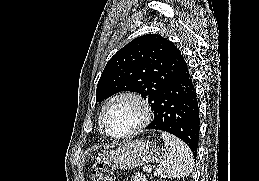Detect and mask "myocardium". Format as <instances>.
Here are the masks:
<instances>
[{
    "mask_svg": "<svg viewBox=\"0 0 259 181\" xmlns=\"http://www.w3.org/2000/svg\"><path fill=\"white\" fill-rule=\"evenodd\" d=\"M120 100H131L133 101L140 110V120L138 124L132 128L131 130L122 133V134H112L110 133L106 126H105V115L108 110V108L115 102ZM152 118V110L148 103V101L139 93L134 91H123L120 93L115 94L112 96L103 106L100 115H99V125L102 130V132L107 135L108 137H111L113 139H125L132 137L139 133L142 129H144Z\"/></svg>",
    "mask_w": 259,
    "mask_h": 181,
    "instance_id": "1",
    "label": "myocardium"
}]
</instances>
